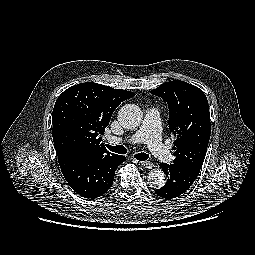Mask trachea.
<instances>
[{
  "mask_svg": "<svg viewBox=\"0 0 255 255\" xmlns=\"http://www.w3.org/2000/svg\"><path fill=\"white\" fill-rule=\"evenodd\" d=\"M106 147L110 151L118 153V154H126L127 153V149L124 146H119V145L111 146V145L106 144ZM134 157L140 161H146L149 158V155L146 153H137L134 155Z\"/></svg>",
  "mask_w": 255,
  "mask_h": 255,
  "instance_id": "trachea-1",
  "label": "trachea"
}]
</instances>
